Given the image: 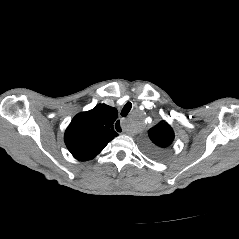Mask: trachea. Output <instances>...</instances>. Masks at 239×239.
<instances>
[{
	"label": "trachea",
	"instance_id": "1",
	"mask_svg": "<svg viewBox=\"0 0 239 239\" xmlns=\"http://www.w3.org/2000/svg\"><path fill=\"white\" fill-rule=\"evenodd\" d=\"M132 108V104L130 102L126 103L125 106L123 107L122 111H121V115L123 117L127 116V114L129 113V111Z\"/></svg>",
	"mask_w": 239,
	"mask_h": 239
}]
</instances>
